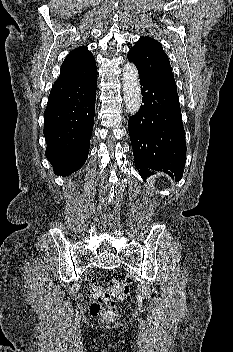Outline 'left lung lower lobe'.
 Masks as SVG:
<instances>
[{
  "label": "left lung lower lobe",
  "instance_id": "obj_1",
  "mask_svg": "<svg viewBox=\"0 0 233 352\" xmlns=\"http://www.w3.org/2000/svg\"><path fill=\"white\" fill-rule=\"evenodd\" d=\"M138 74L142 104L128 121L136 168L143 179L154 174L150 170H159L179 181L186 161V142L177 90Z\"/></svg>",
  "mask_w": 233,
  "mask_h": 352
}]
</instances>
